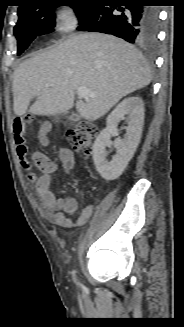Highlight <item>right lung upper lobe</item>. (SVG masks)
Segmentation results:
<instances>
[{
    "instance_id": "right-lung-upper-lobe-1",
    "label": "right lung upper lobe",
    "mask_w": 184,
    "mask_h": 327,
    "mask_svg": "<svg viewBox=\"0 0 184 327\" xmlns=\"http://www.w3.org/2000/svg\"><path fill=\"white\" fill-rule=\"evenodd\" d=\"M41 1L43 0H21L20 3L22 4L19 6V11Z\"/></svg>"
}]
</instances>
